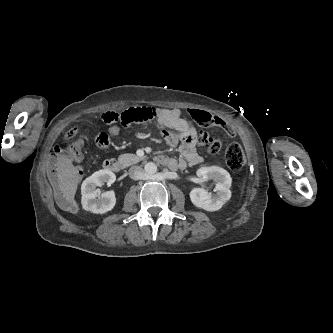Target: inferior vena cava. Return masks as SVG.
Returning <instances> with one entry per match:
<instances>
[{"label":"inferior vena cava","instance_id":"602c4592","mask_svg":"<svg viewBox=\"0 0 333 333\" xmlns=\"http://www.w3.org/2000/svg\"><path fill=\"white\" fill-rule=\"evenodd\" d=\"M143 170L140 166H133L129 169V177L133 180L141 179Z\"/></svg>","mask_w":333,"mask_h":333}]
</instances>
